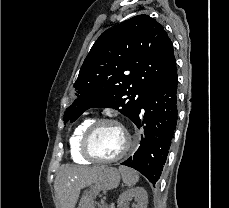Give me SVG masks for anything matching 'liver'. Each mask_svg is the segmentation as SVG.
<instances>
[{"label":"liver","mask_w":229,"mask_h":208,"mask_svg":"<svg viewBox=\"0 0 229 208\" xmlns=\"http://www.w3.org/2000/svg\"><path fill=\"white\" fill-rule=\"evenodd\" d=\"M103 170H105V166L88 168V166L64 164L61 172L57 174L54 184L61 208H75L80 190L94 184Z\"/></svg>","instance_id":"obj_1"}]
</instances>
